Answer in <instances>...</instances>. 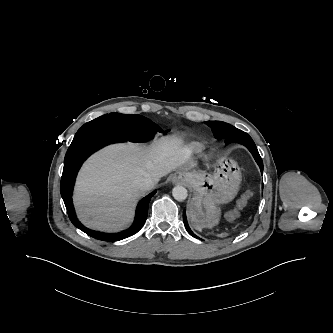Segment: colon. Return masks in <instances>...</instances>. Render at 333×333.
Listing matches in <instances>:
<instances>
[{"instance_id":"colon-1","label":"colon","mask_w":333,"mask_h":333,"mask_svg":"<svg viewBox=\"0 0 333 333\" xmlns=\"http://www.w3.org/2000/svg\"><path fill=\"white\" fill-rule=\"evenodd\" d=\"M251 197H252L251 191L244 192L240 197V199L238 200L236 208L227 213V219L229 221H234L238 217L239 210L247 205Z\"/></svg>"}]
</instances>
